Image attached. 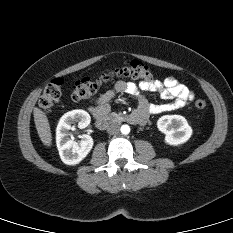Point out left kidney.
Here are the masks:
<instances>
[{
	"label": "left kidney",
	"instance_id": "obj_1",
	"mask_svg": "<svg viewBox=\"0 0 233 233\" xmlns=\"http://www.w3.org/2000/svg\"><path fill=\"white\" fill-rule=\"evenodd\" d=\"M157 127L165 134V142L169 145L183 144L192 135V128L181 115H164L158 119Z\"/></svg>",
	"mask_w": 233,
	"mask_h": 233
}]
</instances>
